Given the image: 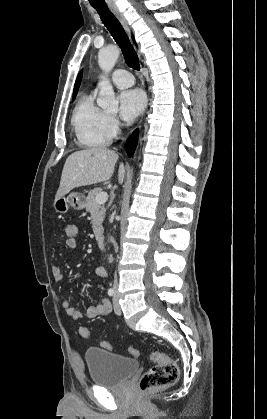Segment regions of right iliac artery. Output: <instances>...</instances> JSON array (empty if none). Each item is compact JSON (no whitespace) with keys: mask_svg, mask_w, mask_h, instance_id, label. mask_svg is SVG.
I'll return each instance as SVG.
<instances>
[{"mask_svg":"<svg viewBox=\"0 0 267 419\" xmlns=\"http://www.w3.org/2000/svg\"><path fill=\"white\" fill-rule=\"evenodd\" d=\"M114 294H115L114 289H113V288H110V289L108 290V295H109V296H113Z\"/></svg>","mask_w":267,"mask_h":419,"instance_id":"1","label":"right iliac artery"}]
</instances>
